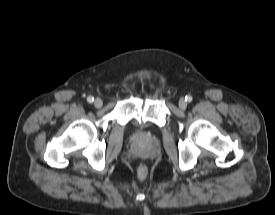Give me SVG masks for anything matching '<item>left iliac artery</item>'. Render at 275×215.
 Wrapping results in <instances>:
<instances>
[{"label": "left iliac artery", "instance_id": "1", "mask_svg": "<svg viewBox=\"0 0 275 215\" xmlns=\"http://www.w3.org/2000/svg\"><path fill=\"white\" fill-rule=\"evenodd\" d=\"M192 96L191 95H187L186 97H185V101H187V102H191L192 101Z\"/></svg>", "mask_w": 275, "mask_h": 215}]
</instances>
